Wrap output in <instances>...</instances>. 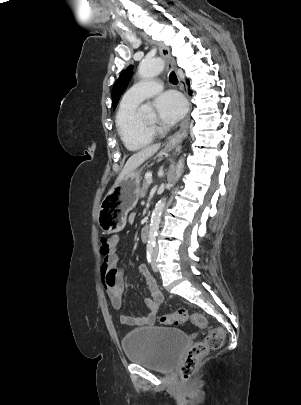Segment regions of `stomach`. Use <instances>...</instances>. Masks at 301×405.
<instances>
[{"label":"stomach","mask_w":301,"mask_h":405,"mask_svg":"<svg viewBox=\"0 0 301 405\" xmlns=\"http://www.w3.org/2000/svg\"><path fill=\"white\" fill-rule=\"evenodd\" d=\"M141 170H134L119 183H115L101 203L98 224L107 232H118L126 224V217L140 197Z\"/></svg>","instance_id":"stomach-1"}]
</instances>
